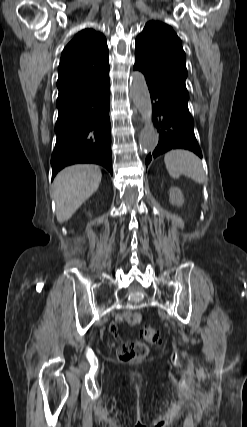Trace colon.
I'll return each instance as SVG.
<instances>
[{"instance_id":"1","label":"colon","mask_w":247,"mask_h":427,"mask_svg":"<svg viewBox=\"0 0 247 427\" xmlns=\"http://www.w3.org/2000/svg\"><path fill=\"white\" fill-rule=\"evenodd\" d=\"M142 335L146 341L152 344L160 343V333L153 327H144ZM117 355L122 362L142 360L148 355V347L141 342L124 343L119 347Z\"/></svg>"}]
</instances>
